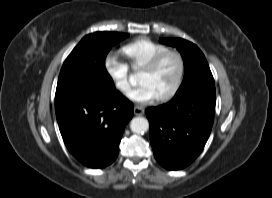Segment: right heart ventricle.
<instances>
[{
    "mask_svg": "<svg viewBox=\"0 0 272 198\" xmlns=\"http://www.w3.org/2000/svg\"><path fill=\"white\" fill-rule=\"evenodd\" d=\"M169 48L149 38H138L122 47V52L133 69H142L158 53Z\"/></svg>",
    "mask_w": 272,
    "mask_h": 198,
    "instance_id": "obj_1",
    "label": "right heart ventricle"
}]
</instances>
